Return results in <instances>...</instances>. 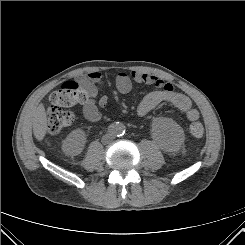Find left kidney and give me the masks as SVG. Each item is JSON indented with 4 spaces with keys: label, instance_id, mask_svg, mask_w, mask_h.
<instances>
[{
    "label": "left kidney",
    "instance_id": "left-kidney-1",
    "mask_svg": "<svg viewBox=\"0 0 245 245\" xmlns=\"http://www.w3.org/2000/svg\"><path fill=\"white\" fill-rule=\"evenodd\" d=\"M157 142L167 151L177 150L184 140L183 129L172 119L158 118L153 123Z\"/></svg>",
    "mask_w": 245,
    "mask_h": 245
}]
</instances>
